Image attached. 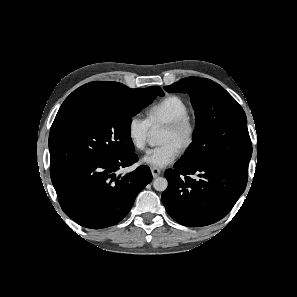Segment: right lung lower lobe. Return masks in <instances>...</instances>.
Masks as SVG:
<instances>
[{
	"label": "right lung lower lobe",
	"instance_id": "right-lung-lower-lobe-1",
	"mask_svg": "<svg viewBox=\"0 0 297 297\" xmlns=\"http://www.w3.org/2000/svg\"><path fill=\"white\" fill-rule=\"evenodd\" d=\"M137 160L134 152L84 159L51 173L62 210L83 227L101 229L117 224L152 180L145 165L123 176L116 175L119 169Z\"/></svg>",
	"mask_w": 297,
	"mask_h": 297
}]
</instances>
